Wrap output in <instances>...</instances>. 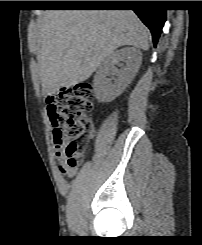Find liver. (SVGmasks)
Here are the masks:
<instances>
[{
    "mask_svg": "<svg viewBox=\"0 0 202 245\" xmlns=\"http://www.w3.org/2000/svg\"><path fill=\"white\" fill-rule=\"evenodd\" d=\"M39 40L46 95L84 82L120 46L149 48V33L132 10H47Z\"/></svg>",
    "mask_w": 202,
    "mask_h": 245,
    "instance_id": "6515ba94",
    "label": "liver"
}]
</instances>
